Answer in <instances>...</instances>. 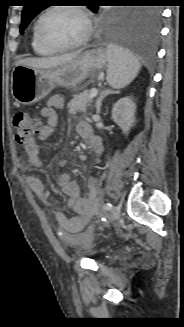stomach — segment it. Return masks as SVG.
Returning <instances> with one entry per match:
<instances>
[{"instance_id":"1","label":"stomach","mask_w":184,"mask_h":327,"mask_svg":"<svg viewBox=\"0 0 184 327\" xmlns=\"http://www.w3.org/2000/svg\"><path fill=\"white\" fill-rule=\"evenodd\" d=\"M106 62V49L100 46L53 69L17 65L11 76L13 98L18 104L31 105L46 97L55 85L76 89L87 78L97 76Z\"/></svg>"}]
</instances>
